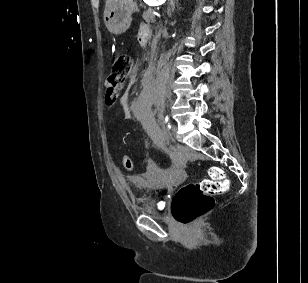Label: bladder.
<instances>
[{
  "label": "bladder",
  "mask_w": 308,
  "mask_h": 283,
  "mask_svg": "<svg viewBox=\"0 0 308 283\" xmlns=\"http://www.w3.org/2000/svg\"><path fill=\"white\" fill-rule=\"evenodd\" d=\"M161 204H154L153 207L147 209V213H151V214H160L161 213Z\"/></svg>",
  "instance_id": "1"
}]
</instances>
